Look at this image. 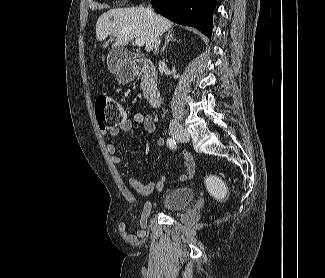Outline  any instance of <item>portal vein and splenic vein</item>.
<instances>
[{
  "label": "portal vein and splenic vein",
  "mask_w": 325,
  "mask_h": 278,
  "mask_svg": "<svg viewBox=\"0 0 325 278\" xmlns=\"http://www.w3.org/2000/svg\"><path fill=\"white\" fill-rule=\"evenodd\" d=\"M135 44L138 46V47H142L144 46V40L142 38H136L135 39Z\"/></svg>",
  "instance_id": "obj_1"
}]
</instances>
